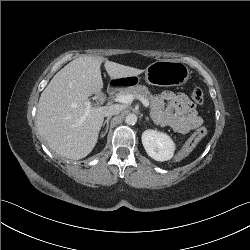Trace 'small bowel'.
Segmentation results:
<instances>
[{
    "label": "small bowel",
    "instance_id": "small-bowel-1",
    "mask_svg": "<svg viewBox=\"0 0 250 250\" xmlns=\"http://www.w3.org/2000/svg\"><path fill=\"white\" fill-rule=\"evenodd\" d=\"M151 114L156 123L169 126L180 134H186L202 124L194 104L183 93L165 91L155 96Z\"/></svg>",
    "mask_w": 250,
    "mask_h": 250
}]
</instances>
